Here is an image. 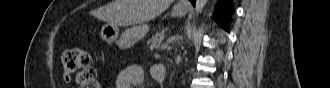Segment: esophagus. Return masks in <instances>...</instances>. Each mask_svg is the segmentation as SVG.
I'll return each mask as SVG.
<instances>
[{"mask_svg": "<svg viewBox=\"0 0 330 88\" xmlns=\"http://www.w3.org/2000/svg\"><path fill=\"white\" fill-rule=\"evenodd\" d=\"M180 4H182V5H186V3H185L184 1H181Z\"/></svg>", "mask_w": 330, "mask_h": 88, "instance_id": "obj_1", "label": "esophagus"}]
</instances>
